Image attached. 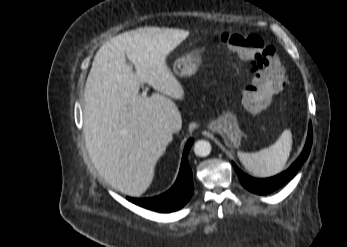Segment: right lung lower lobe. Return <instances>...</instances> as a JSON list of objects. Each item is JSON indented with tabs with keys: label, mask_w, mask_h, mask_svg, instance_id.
Instances as JSON below:
<instances>
[{
	"label": "right lung lower lobe",
	"mask_w": 347,
	"mask_h": 247,
	"mask_svg": "<svg viewBox=\"0 0 347 247\" xmlns=\"http://www.w3.org/2000/svg\"><path fill=\"white\" fill-rule=\"evenodd\" d=\"M192 143L193 139H189L185 145L180 172L171 189L151 198L135 199L127 197V199L141 207L159 212H172L182 208L189 201L194 191L192 171L187 158Z\"/></svg>",
	"instance_id": "1"
}]
</instances>
